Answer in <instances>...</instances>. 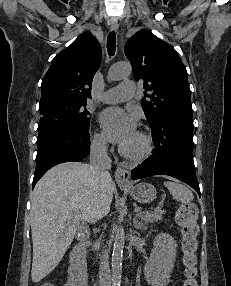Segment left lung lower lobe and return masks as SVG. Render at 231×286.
<instances>
[{"label": "left lung lower lobe", "instance_id": "obj_1", "mask_svg": "<svg viewBox=\"0 0 231 286\" xmlns=\"http://www.w3.org/2000/svg\"><path fill=\"white\" fill-rule=\"evenodd\" d=\"M155 151L132 170V179L163 174L190 185L200 195L193 161L192 115L168 113L151 126Z\"/></svg>", "mask_w": 231, "mask_h": 286}]
</instances>
